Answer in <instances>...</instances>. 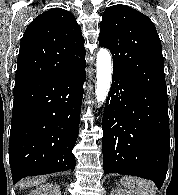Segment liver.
<instances>
[{"label":"liver","instance_id":"6515ba94","mask_svg":"<svg viewBox=\"0 0 178 195\" xmlns=\"http://www.w3.org/2000/svg\"><path fill=\"white\" fill-rule=\"evenodd\" d=\"M45 181L44 178H33V179H25L21 181L20 188L25 189L31 186L39 185Z\"/></svg>","mask_w":178,"mask_h":195}]
</instances>
